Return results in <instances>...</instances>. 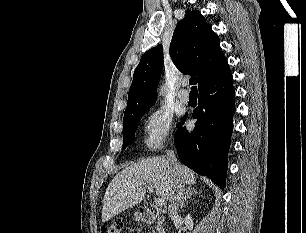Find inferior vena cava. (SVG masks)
Instances as JSON below:
<instances>
[{"label": "inferior vena cava", "instance_id": "1", "mask_svg": "<svg viewBox=\"0 0 306 233\" xmlns=\"http://www.w3.org/2000/svg\"><path fill=\"white\" fill-rule=\"evenodd\" d=\"M166 156L167 160L171 163L173 167V173L175 178L173 184V190L169 197V207H168V215L169 217L173 218L177 215L179 204L183 199L185 182L182 176L181 166L177 162L174 152L172 150H168Z\"/></svg>", "mask_w": 306, "mask_h": 233}]
</instances>
